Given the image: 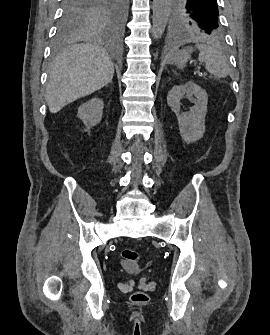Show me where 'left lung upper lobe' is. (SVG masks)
Wrapping results in <instances>:
<instances>
[{"mask_svg":"<svg viewBox=\"0 0 270 335\" xmlns=\"http://www.w3.org/2000/svg\"><path fill=\"white\" fill-rule=\"evenodd\" d=\"M175 22L188 31L217 36L222 31L216 0H174Z\"/></svg>","mask_w":270,"mask_h":335,"instance_id":"1","label":"left lung upper lobe"}]
</instances>
